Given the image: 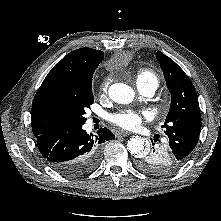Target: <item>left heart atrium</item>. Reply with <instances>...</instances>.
Listing matches in <instances>:
<instances>
[{"instance_id": "1", "label": "left heart atrium", "mask_w": 221, "mask_h": 221, "mask_svg": "<svg viewBox=\"0 0 221 221\" xmlns=\"http://www.w3.org/2000/svg\"><path fill=\"white\" fill-rule=\"evenodd\" d=\"M109 121L124 129H135L141 123V116L133 110H125L109 116Z\"/></svg>"}]
</instances>
